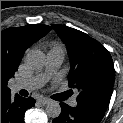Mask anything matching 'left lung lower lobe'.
I'll list each match as a JSON object with an SVG mask.
<instances>
[{"mask_svg": "<svg viewBox=\"0 0 123 123\" xmlns=\"http://www.w3.org/2000/svg\"><path fill=\"white\" fill-rule=\"evenodd\" d=\"M60 106L61 114L52 123H100L104 116L79 105L70 107L60 103Z\"/></svg>", "mask_w": 123, "mask_h": 123, "instance_id": "1", "label": "left lung lower lobe"}]
</instances>
